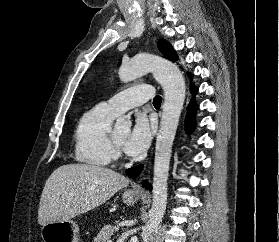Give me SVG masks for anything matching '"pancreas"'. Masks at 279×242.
Returning a JSON list of instances; mask_svg holds the SVG:
<instances>
[{"instance_id": "obj_1", "label": "pancreas", "mask_w": 279, "mask_h": 242, "mask_svg": "<svg viewBox=\"0 0 279 242\" xmlns=\"http://www.w3.org/2000/svg\"><path fill=\"white\" fill-rule=\"evenodd\" d=\"M118 231V228L114 225H106L94 238V242H107L114 233Z\"/></svg>"}]
</instances>
